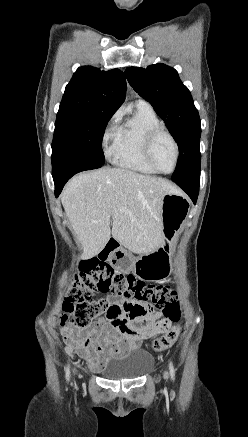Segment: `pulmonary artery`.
Here are the masks:
<instances>
[{
  "instance_id": "pulmonary-artery-1",
  "label": "pulmonary artery",
  "mask_w": 248,
  "mask_h": 437,
  "mask_svg": "<svg viewBox=\"0 0 248 437\" xmlns=\"http://www.w3.org/2000/svg\"><path fill=\"white\" fill-rule=\"evenodd\" d=\"M136 104H137V106H140V107H150L151 108L150 104L148 102H146L145 100H138Z\"/></svg>"
}]
</instances>
